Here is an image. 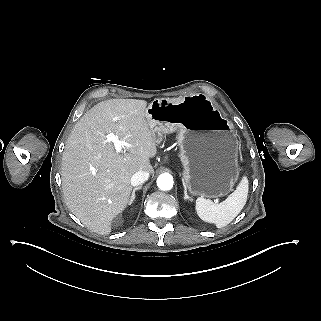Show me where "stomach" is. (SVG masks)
Here are the masks:
<instances>
[{
  "label": "stomach",
  "instance_id": "stomach-1",
  "mask_svg": "<svg viewBox=\"0 0 321 321\" xmlns=\"http://www.w3.org/2000/svg\"><path fill=\"white\" fill-rule=\"evenodd\" d=\"M145 118L156 142L177 132L183 182L192 195L217 198L231 191L239 175L237 133L205 96L155 98Z\"/></svg>",
  "mask_w": 321,
  "mask_h": 321
}]
</instances>
